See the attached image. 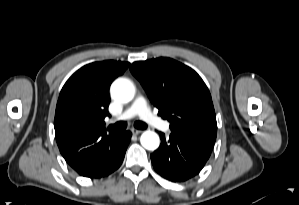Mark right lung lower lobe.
<instances>
[{
  "mask_svg": "<svg viewBox=\"0 0 299 205\" xmlns=\"http://www.w3.org/2000/svg\"><path fill=\"white\" fill-rule=\"evenodd\" d=\"M130 139V131L119 134L113 143L92 155L77 172L89 178L110 175L120 167Z\"/></svg>",
  "mask_w": 299,
  "mask_h": 205,
  "instance_id": "98d812e1",
  "label": "right lung lower lobe"
}]
</instances>
